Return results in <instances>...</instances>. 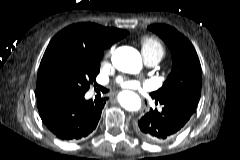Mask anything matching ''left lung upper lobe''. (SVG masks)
Returning a JSON list of instances; mask_svg holds the SVG:
<instances>
[{
    "instance_id": "obj_1",
    "label": "left lung upper lobe",
    "mask_w": 240,
    "mask_h": 160,
    "mask_svg": "<svg viewBox=\"0 0 240 160\" xmlns=\"http://www.w3.org/2000/svg\"><path fill=\"white\" fill-rule=\"evenodd\" d=\"M149 30L158 34L167 44L173 68L163 86L151 93L155 101H176L197 108L201 94L202 70L191 42L168 25L154 24Z\"/></svg>"
}]
</instances>
